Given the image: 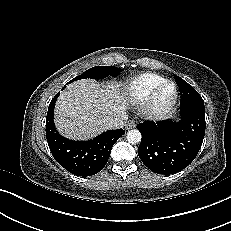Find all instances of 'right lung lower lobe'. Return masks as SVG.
<instances>
[{
  "label": "right lung lower lobe",
  "instance_id": "98d812e1",
  "mask_svg": "<svg viewBox=\"0 0 231 231\" xmlns=\"http://www.w3.org/2000/svg\"><path fill=\"white\" fill-rule=\"evenodd\" d=\"M59 94L60 92L50 102L46 118V136L50 151L55 160L74 175L86 177L97 174L106 165L113 145L125 131L108 130L88 141L64 138L57 132L53 121L54 106Z\"/></svg>",
  "mask_w": 231,
  "mask_h": 231
}]
</instances>
